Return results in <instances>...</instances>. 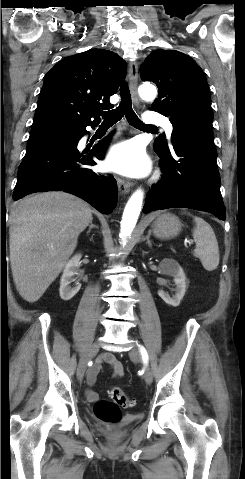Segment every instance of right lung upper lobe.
Returning <instances> with one entry per match:
<instances>
[{"instance_id":"obj_1","label":"right lung upper lobe","mask_w":245,"mask_h":479,"mask_svg":"<svg viewBox=\"0 0 245 479\" xmlns=\"http://www.w3.org/2000/svg\"><path fill=\"white\" fill-rule=\"evenodd\" d=\"M126 62L109 50L90 49L58 62L46 75L31 131L79 129L100 121L126 75Z\"/></svg>"}]
</instances>
